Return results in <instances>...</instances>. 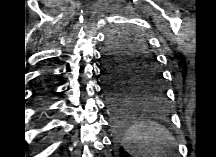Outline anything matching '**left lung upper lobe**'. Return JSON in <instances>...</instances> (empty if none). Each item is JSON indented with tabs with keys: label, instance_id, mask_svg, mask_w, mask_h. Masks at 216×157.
Wrapping results in <instances>:
<instances>
[{
	"label": "left lung upper lobe",
	"instance_id": "1",
	"mask_svg": "<svg viewBox=\"0 0 216 157\" xmlns=\"http://www.w3.org/2000/svg\"><path fill=\"white\" fill-rule=\"evenodd\" d=\"M104 57L111 81L131 91L133 97L162 96L163 76L158 61L140 33L133 29L110 33Z\"/></svg>",
	"mask_w": 216,
	"mask_h": 157
}]
</instances>
